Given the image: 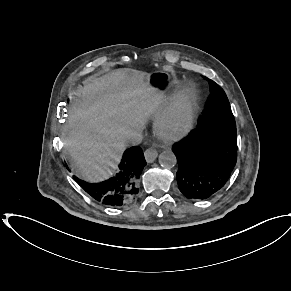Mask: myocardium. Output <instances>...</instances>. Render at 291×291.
Listing matches in <instances>:
<instances>
[{"label": "myocardium", "instance_id": "1", "mask_svg": "<svg viewBox=\"0 0 291 291\" xmlns=\"http://www.w3.org/2000/svg\"><path fill=\"white\" fill-rule=\"evenodd\" d=\"M197 117V92L193 84L184 85L168 102L156 118L154 128L157 135L167 142H175L187 136L194 127ZM179 118L173 130L170 124Z\"/></svg>", "mask_w": 291, "mask_h": 291}]
</instances>
